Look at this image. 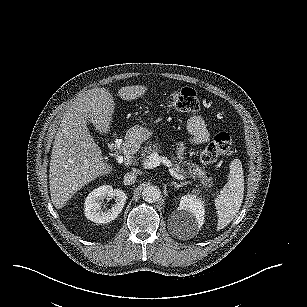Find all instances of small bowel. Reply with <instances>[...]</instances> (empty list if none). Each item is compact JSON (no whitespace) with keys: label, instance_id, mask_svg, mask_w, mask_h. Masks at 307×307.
Listing matches in <instances>:
<instances>
[{"label":"small bowel","instance_id":"small-bowel-1","mask_svg":"<svg viewBox=\"0 0 307 307\" xmlns=\"http://www.w3.org/2000/svg\"><path fill=\"white\" fill-rule=\"evenodd\" d=\"M187 129L192 136L191 142L195 144H201L209 139L208 130L204 124V121L199 116H192L187 121ZM184 145H180L179 151L182 153Z\"/></svg>","mask_w":307,"mask_h":307}]
</instances>
